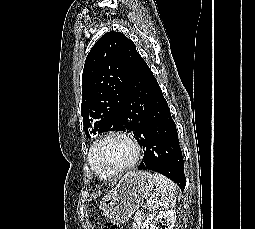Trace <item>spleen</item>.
I'll return each instance as SVG.
<instances>
[{
	"label": "spleen",
	"instance_id": "obj_1",
	"mask_svg": "<svg viewBox=\"0 0 255 229\" xmlns=\"http://www.w3.org/2000/svg\"><path fill=\"white\" fill-rule=\"evenodd\" d=\"M153 181L156 185L153 195L147 201L149 209L157 211L172 208L176 203V185L162 174L154 173Z\"/></svg>",
	"mask_w": 255,
	"mask_h": 229
}]
</instances>
